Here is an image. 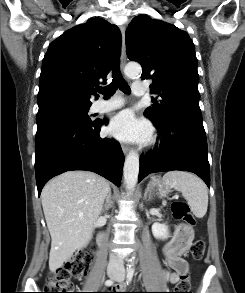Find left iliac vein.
Masks as SVG:
<instances>
[{
    "instance_id": "left-iliac-vein-1",
    "label": "left iliac vein",
    "mask_w": 245,
    "mask_h": 293,
    "mask_svg": "<svg viewBox=\"0 0 245 293\" xmlns=\"http://www.w3.org/2000/svg\"><path fill=\"white\" fill-rule=\"evenodd\" d=\"M124 276H125V272L124 271L120 272L118 276L116 277V281L122 282L124 280Z\"/></svg>"
}]
</instances>
